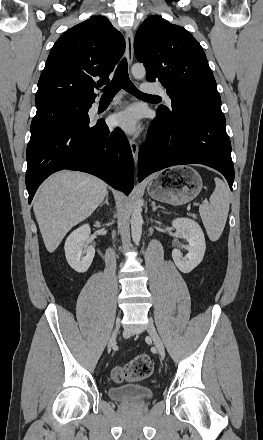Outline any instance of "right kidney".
I'll use <instances>...</instances> for the list:
<instances>
[{
  "mask_svg": "<svg viewBox=\"0 0 263 440\" xmlns=\"http://www.w3.org/2000/svg\"><path fill=\"white\" fill-rule=\"evenodd\" d=\"M95 225L99 227L100 223L96 222ZM89 235L90 226L84 224L74 230L65 241L66 260L70 267L78 273H84L89 269L95 255L94 247L85 244ZM83 253L86 254L85 257H82Z\"/></svg>",
  "mask_w": 263,
  "mask_h": 440,
  "instance_id": "right-kidney-1",
  "label": "right kidney"
}]
</instances>
